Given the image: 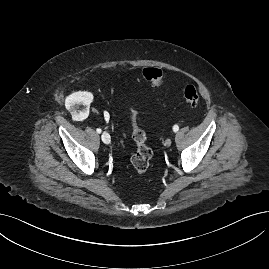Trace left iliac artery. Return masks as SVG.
Instances as JSON below:
<instances>
[{"instance_id":"obj_1","label":"left iliac artery","mask_w":269,"mask_h":269,"mask_svg":"<svg viewBox=\"0 0 269 269\" xmlns=\"http://www.w3.org/2000/svg\"><path fill=\"white\" fill-rule=\"evenodd\" d=\"M178 130H179L178 125H174V126H173V131H174V132H177Z\"/></svg>"}]
</instances>
